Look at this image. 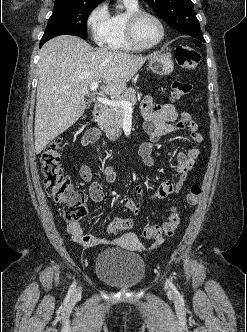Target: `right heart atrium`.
Returning <instances> with one entry per match:
<instances>
[{
	"mask_svg": "<svg viewBox=\"0 0 247 332\" xmlns=\"http://www.w3.org/2000/svg\"><path fill=\"white\" fill-rule=\"evenodd\" d=\"M110 13L105 2L98 3L86 18V27L92 40L103 45L109 23Z\"/></svg>",
	"mask_w": 247,
	"mask_h": 332,
	"instance_id": "1",
	"label": "right heart atrium"
}]
</instances>
